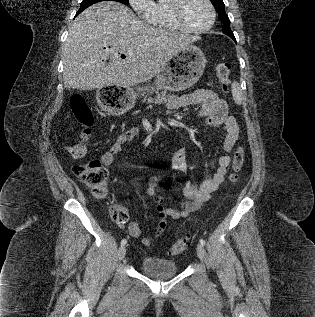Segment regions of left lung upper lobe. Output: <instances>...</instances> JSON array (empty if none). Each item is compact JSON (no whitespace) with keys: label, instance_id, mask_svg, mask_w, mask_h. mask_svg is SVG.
I'll return each instance as SVG.
<instances>
[{"label":"left lung upper lobe","instance_id":"obj_1","mask_svg":"<svg viewBox=\"0 0 315 317\" xmlns=\"http://www.w3.org/2000/svg\"><path fill=\"white\" fill-rule=\"evenodd\" d=\"M213 4V6L215 7L219 18L221 19L222 23H223V33H225L226 35H228L229 37H233L234 34L230 29V20L227 16V14L225 13V5L223 3V0H210Z\"/></svg>","mask_w":315,"mask_h":317}]
</instances>
